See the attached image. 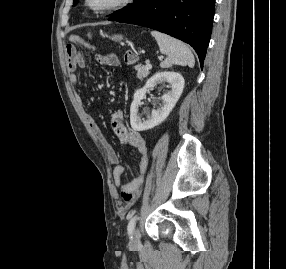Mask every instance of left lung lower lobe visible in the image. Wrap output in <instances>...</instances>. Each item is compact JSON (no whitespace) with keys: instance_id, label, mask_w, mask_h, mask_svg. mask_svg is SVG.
Instances as JSON below:
<instances>
[{"instance_id":"1","label":"left lung lower lobe","mask_w":286,"mask_h":269,"mask_svg":"<svg viewBox=\"0 0 286 269\" xmlns=\"http://www.w3.org/2000/svg\"><path fill=\"white\" fill-rule=\"evenodd\" d=\"M215 0H148L145 7L116 20L148 27L191 45L201 67L209 44Z\"/></svg>"}]
</instances>
